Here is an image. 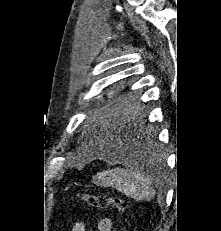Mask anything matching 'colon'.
I'll use <instances>...</instances> for the list:
<instances>
[{
    "label": "colon",
    "instance_id": "colon-1",
    "mask_svg": "<svg viewBox=\"0 0 221 231\" xmlns=\"http://www.w3.org/2000/svg\"><path fill=\"white\" fill-rule=\"evenodd\" d=\"M80 198L87 205L94 208L106 209L109 207H114L120 213H125L127 210L126 202L120 197L105 194L96 195L90 193H82L80 194Z\"/></svg>",
    "mask_w": 221,
    "mask_h": 231
}]
</instances>
